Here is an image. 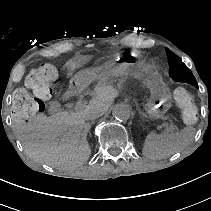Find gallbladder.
<instances>
[{
	"label": "gallbladder",
	"mask_w": 211,
	"mask_h": 211,
	"mask_svg": "<svg viewBox=\"0 0 211 211\" xmlns=\"http://www.w3.org/2000/svg\"><path fill=\"white\" fill-rule=\"evenodd\" d=\"M72 98V94L68 93V92H63L61 95V100H63L64 102H68L70 101Z\"/></svg>",
	"instance_id": "bac80fb5"
}]
</instances>
